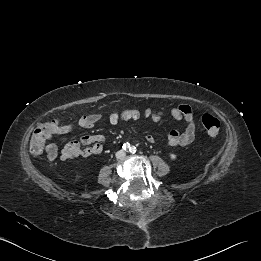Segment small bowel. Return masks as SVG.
<instances>
[{"label":"small bowel","instance_id":"1","mask_svg":"<svg viewBox=\"0 0 261 261\" xmlns=\"http://www.w3.org/2000/svg\"><path fill=\"white\" fill-rule=\"evenodd\" d=\"M171 116L175 120L183 121L185 124L184 130L170 131L168 135V144L170 146H187L191 144L195 138V117L194 111L189 105H179L171 109ZM162 112H154L151 115L153 122L158 123L161 119ZM101 119L99 114L93 113L81 116L76 123L71 124H51L49 139L53 134H66L73 131L75 128H92ZM110 123L116 124L119 119L109 118ZM147 141L155 142L153 135H147ZM105 143V137L102 135H84L79 140L68 142L61 151L62 160H70L77 157H90L102 152ZM48 159L53 161L58 156L57 146L49 142L46 147Z\"/></svg>","mask_w":261,"mask_h":261}]
</instances>
